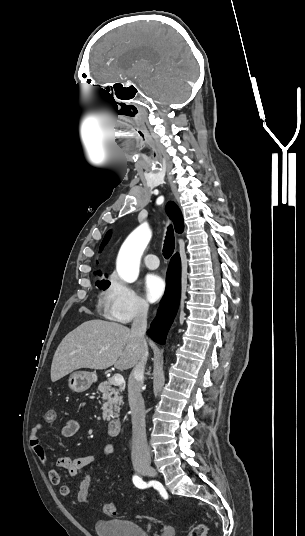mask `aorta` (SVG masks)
I'll list each match as a JSON object with an SVG mask.
<instances>
[{
  "mask_svg": "<svg viewBox=\"0 0 305 536\" xmlns=\"http://www.w3.org/2000/svg\"><path fill=\"white\" fill-rule=\"evenodd\" d=\"M152 236L150 228L141 225L123 243L117 258V272L120 278L133 283L139 276L141 256Z\"/></svg>",
  "mask_w": 305,
  "mask_h": 536,
  "instance_id": "aorta-1",
  "label": "aorta"
}]
</instances>
